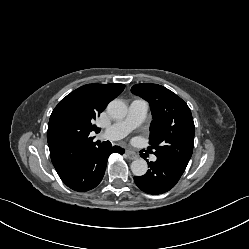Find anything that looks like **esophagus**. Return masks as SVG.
Wrapping results in <instances>:
<instances>
[{
	"label": "esophagus",
	"mask_w": 249,
	"mask_h": 249,
	"mask_svg": "<svg viewBox=\"0 0 249 249\" xmlns=\"http://www.w3.org/2000/svg\"><path fill=\"white\" fill-rule=\"evenodd\" d=\"M126 155H127V157H128L130 160H134V159H137V158H138V156H137L135 153H133V152H131V151H129V150H126Z\"/></svg>",
	"instance_id": "34e87169"
}]
</instances>
